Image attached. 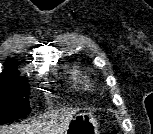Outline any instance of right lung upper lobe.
<instances>
[{
    "label": "right lung upper lobe",
    "instance_id": "right-lung-upper-lobe-1",
    "mask_svg": "<svg viewBox=\"0 0 153 134\" xmlns=\"http://www.w3.org/2000/svg\"><path fill=\"white\" fill-rule=\"evenodd\" d=\"M16 68L14 60H7L5 63V70L0 74V78H21Z\"/></svg>",
    "mask_w": 153,
    "mask_h": 134
}]
</instances>
